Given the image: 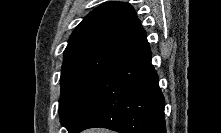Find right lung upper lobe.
Listing matches in <instances>:
<instances>
[{"label": "right lung upper lobe", "instance_id": "obj_1", "mask_svg": "<svg viewBox=\"0 0 221 133\" xmlns=\"http://www.w3.org/2000/svg\"><path fill=\"white\" fill-rule=\"evenodd\" d=\"M150 50L133 7L105 3L90 12L73 31L64 51L62 71L107 70Z\"/></svg>", "mask_w": 221, "mask_h": 133}]
</instances>
